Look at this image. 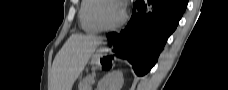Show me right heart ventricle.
Here are the masks:
<instances>
[{
	"label": "right heart ventricle",
	"mask_w": 228,
	"mask_h": 90,
	"mask_svg": "<svg viewBox=\"0 0 228 90\" xmlns=\"http://www.w3.org/2000/svg\"><path fill=\"white\" fill-rule=\"evenodd\" d=\"M97 0H83L79 8V21L82 29L87 33H98L102 29L93 19V10Z\"/></svg>",
	"instance_id": "e07e8e85"
}]
</instances>
